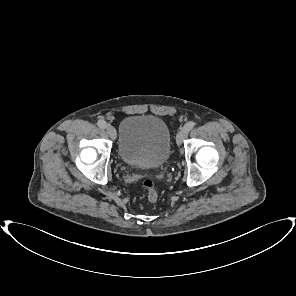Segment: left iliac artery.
Returning a JSON list of instances; mask_svg holds the SVG:
<instances>
[{"instance_id":"obj_1","label":"left iliac artery","mask_w":296,"mask_h":296,"mask_svg":"<svg viewBox=\"0 0 296 296\" xmlns=\"http://www.w3.org/2000/svg\"><path fill=\"white\" fill-rule=\"evenodd\" d=\"M194 126H195V122L190 121V122L186 123L184 127L190 131L193 129Z\"/></svg>"}]
</instances>
